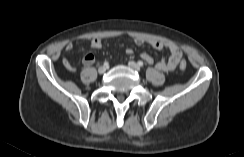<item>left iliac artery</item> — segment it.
Returning a JSON list of instances; mask_svg holds the SVG:
<instances>
[{"instance_id":"1","label":"left iliac artery","mask_w":244,"mask_h":157,"mask_svg":"<svg viewBox=\"0 0 244 157\" xmlns=\"http://www.w3.org/2000/svg\"><path fill=\"white\" fill-rule=\"evenodd\" d=\"M137 65H138V67H143L144 64H143L142 61H138V62H137Z\"/></svg>"}]
</instances>
